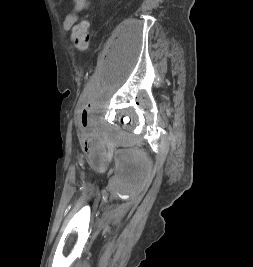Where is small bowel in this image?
Masks as SVG:
<instances>
[{"mask_svg":"<svg viewBox=\"0 0 253 267\" xmlns=\"http://www.w3.org/2000/svg\"><path fill=\"white\" fill-rule=\"evenodd\" d=\"M73 7L64 18L63 28L69 30L78 22V13L87 11L90 6L89 0H71Z\"/></svg>","mask_w":253,"mask_h":267,"instance_id":"1","label":"small bowel"}]
</instances>
